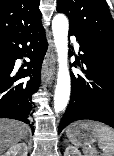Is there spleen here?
Here are the masks:
<instances>
[{
    "label": "spleen",
    "instance_id": "spleen-1",
    "mask_svg": "<svg viewBox=\"0 0 114 156\" xmlns=\"http://www.w3.org/2000/svg\"><path fill=\"white\" fill-rule=\"evenodd\" d=\"M83 126L96 132L98 147L103 152L101 156H114V129L95 121H84ZM84 155L97 156V152L92 148H84Z\"/></svg>",
    "mask_w": 114,
    "mask_h": 156
}]
</instances>
